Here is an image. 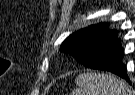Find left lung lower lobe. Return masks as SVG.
Segmentation results:
<instances>
[{"instance_id":"0a47b994","label":"left lung lower lobe","mask_w":135,"mask_h":95,"mask_svg":"<svg viewBox=\"0 0 135 95\" xmlns=\"http://www.w3.org/2000/svg\"><path fill=\"white\" fill-rule=\"evenodd\" d=\"M124 50L117 33L102 40L90 53L88 60L83 64L86 67L112 72L130 82L126 65L122 63Z\"/></svg>"}]
</instances>
